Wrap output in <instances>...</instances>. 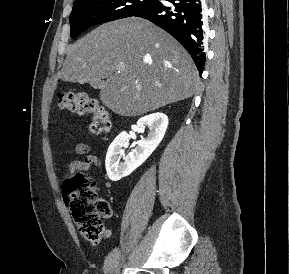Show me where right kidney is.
Masks as SVG:
<instances>
[{
  "label": "right kidney",
  "instance_id": "1",
  "mask_svg": "<svg viewBox=\"0 0 289 274\" xmlns=\"http://www.w3.org/2000/svg\"><path fill=\"white\" fill-rule=\"evenodd\" d=\"M167 127L168 117L164 113L157 112L141 117L134 130L144 132L145 129H149V133L137 142L136 148L127 156L124 155V148L128 134L126 131L121 132L111 143L106 154L105 166L109 179L118 181L142 165L162 141ZM122 157L124 162H120Z\"/></svg>",
  "mask_w": 289,
  "mask_h": 274
}]
</instances>
